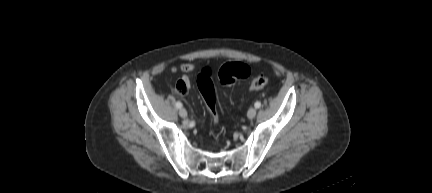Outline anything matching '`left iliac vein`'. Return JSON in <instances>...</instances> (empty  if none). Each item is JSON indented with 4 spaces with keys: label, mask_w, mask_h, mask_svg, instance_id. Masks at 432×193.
<instances>
[{
    "label": "left iliac vein",
    "mask_w": 432,
    "mask_h": 193,
    "mask_svg": "<svg viewBox=\"0 0 432 193\" xmlns=\"http://www.w3.org/2000/svg\"><path fill=\"white\" fill-rule=\"evenodd\" d=\"M256 113V109L254 107H251L247 112V116L249 119H253L256 116Z\"/></svg>",
    "instance_id": "obj_1"
}]
</instances>
